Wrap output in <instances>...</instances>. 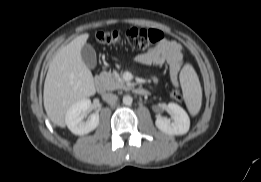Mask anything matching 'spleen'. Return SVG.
Listing matches in <instances>:
<instances>
[{
  "label": "spleen",
  "mask_w": 261,
  "mask_h": 182,
  "mask_svg": "<svg viewBox=\"0 0 261 182\" xmlns=\"http://www.w3.org/2000/svg\"><path fill=\"white\" fill-rule=\"evenodd\" d=\"M180 82L187 108L190 114L195 116L201 108L202 89L198 76L190 64L182 68Z\"/></svg>",
  "instance_id": "obj_1"
}]
</instances>
